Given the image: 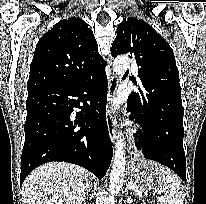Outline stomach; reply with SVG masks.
Wrapping results in <instances>:
<instances>
[{"instance_id":"obj_1","label":"stomach","mask_w":206,"mask_h":204,"mask_svg":"<svg viewBox=\"0 0 206 204\" xmlns=\"http://www.w3.org/2000/svg\"><path fill=\"white\" fill-rule=\"evenodd\" d=\"M161 165L145 159H134L128 168L130 183L140 192H148L161 186Z\"/></svg>"}]
</instances>
